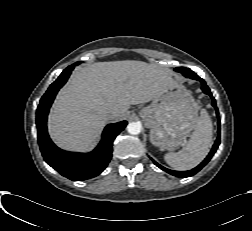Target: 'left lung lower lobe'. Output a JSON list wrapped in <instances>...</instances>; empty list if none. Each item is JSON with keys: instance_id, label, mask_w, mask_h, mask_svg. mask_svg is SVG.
<instances>
[{"instance_id": "0a47b994", "label": "left lung lower lobe", "mask_w": 252, "mask_h": 231, "mask_svg": "<svg viewBox=\"0 0 252 231\" xmlns=\"http://www.w3.org/2000/svg\"><path fill=\"white\" fill-rule=\"evenodd\" d=\"M182 74L185 77L191 78V79H195V80H199L202 83V90L205 94H208L211 98H212V105L214 106V108L216 109V115H219V111L217 109L216 106V102L214 97L212 96L209 87L206 85L205 81L203 79H201L198 75H196L192 70L187 69L185 71L182 72ZM220 144V120L218 121V136L217 139L212 147V150L210 151V153L208 154V156L204 159V161L202 163H200L197 167H195L192 170L189 171H174V170H170V169H166L163 166L159 165L158 163H156L154 161V164L156 166H158L160 169L168 172L171 175L177 176V177H182V178H186L189 176H192L194 174H196L198 171H200L212 158V156L214 155V153L216 152L218 146Z\"/></svg>"}]
</instances>
